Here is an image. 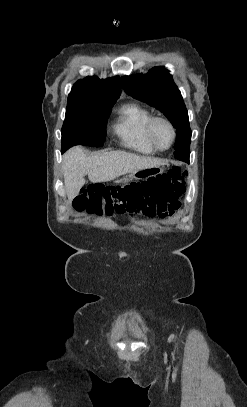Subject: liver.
I'll use <instances>...</instances> for the list:
<instances>
[{
	"instance_id": "liver-1",
	"label": "liver",
	"mask_w": 247,
	"mask_h": 407,
	"mask_svg": "<svg viewBox=\"0 0 247 407\" xmlns=\"http://www.w3.org/2000/svg\"><path fill=\"white\" fill-rule=\"evenodd\" d=\"M165 161L124 151L87 155L82 147L70 149L63 159L65 187L68 199L75 198L88 175L92 183L108 182L121 175L164 165Z\"/></svg>"
}]
</instances>
